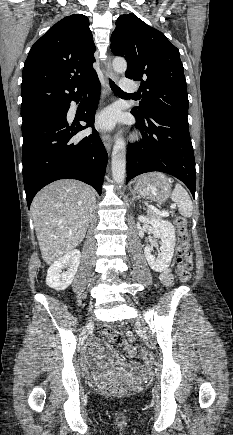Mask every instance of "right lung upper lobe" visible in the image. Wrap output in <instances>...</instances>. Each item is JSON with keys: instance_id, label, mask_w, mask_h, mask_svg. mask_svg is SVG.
Returning a JSON list of instances; mask_svg holds the SVG:
<instances>
[{"instance_id": "1", "label": "right lung upper lobe", "mask_w": 233, "mask_h": 435, "mask_svg": "<svg viewBox=\"0 0 233 435\" xmlns=\"http://www.w3.org/2000/svg\"><path fill=\"white\" fill-rule=\"evenodd\" d=\"M89 19L67 16L31 47L23 67L21 116L63 107L97 77Z\"/></svg>"}]
</instances>
